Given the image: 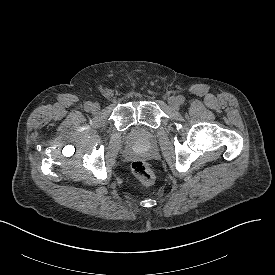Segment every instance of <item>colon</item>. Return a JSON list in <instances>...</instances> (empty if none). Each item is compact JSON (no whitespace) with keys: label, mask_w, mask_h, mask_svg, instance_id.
Returning <instances> with one entry per match:
<instances>
[{"label":"colon","mask_w":275,"mask_h":275,"mask_svg":"<svg viewBox=\"0 0 275 275\" xmlns=\"http://www.w3.org/2000/svg\"><path fill=\"white\" fill-rule=\"evenodd\" d=\"M132 171L141 186L147 187L154 182V173L147 162L143 160L133 162Z\"/></svg>","instance_id":"5ec220e1"}]
</instances>
